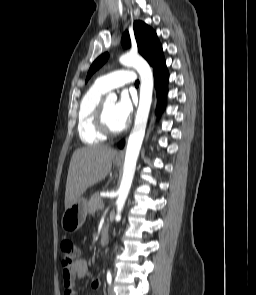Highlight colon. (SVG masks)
Returning <instances> with one entry per match:
<instances>
[{
    "label": "colon",
    "instance_id": "5ec220e1",
    "mask_svg": "<svg viewBox=\"0 0 256 295\" xmlns=\"http://www.w3.org/2000/svg\"><path fill=\"white\" fill-rule=\"evenodd\" d=\"M79 249L71 240H64L61 243V265L69 268L79 258Z\"/></svg>",
    "mask_w": 256,
    "mask_h": 295
}]
</instances>
